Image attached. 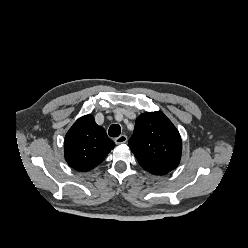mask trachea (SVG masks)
<instances>
[{
    "label": "trachea",
    "mask_w": 248,
    "mask_h": 248,
    "mask_svg": "<svg viewBox=\"0 0 248 248\" xmlns=\"http://www.w3.org/2000/svg\"><path fill=\"white\" fill-rule=\"evenodd\" d=\"M108 133L110 137H118L121 133V127L118 124H113L110 126Z\"/></svg>",
    "instance_id": "trachea-1"
}]
</instances>
